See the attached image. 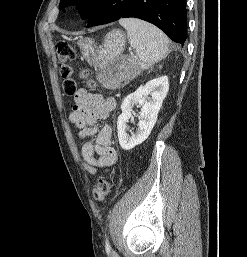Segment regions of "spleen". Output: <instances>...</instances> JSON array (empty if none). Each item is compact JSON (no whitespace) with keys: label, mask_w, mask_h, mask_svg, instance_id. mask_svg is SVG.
I'll return each instance as SVG.
<instances>
[{"label":"spleen","mask_w":247,"mask_h":257,"mask_svg":"<svg viewBox=\"0 0 247 257\" xmlns=\"http://www.w3.org/2000/svg\"><path fill=\"white\" fill-rule=\"evenodd\" d=\"M119 23L126 29L130 45L136 49L141 69H147L166 57L169 40L160 29L136 18H123Z\"/></svg>","instance_id":"obj_1"}]
</instances>
